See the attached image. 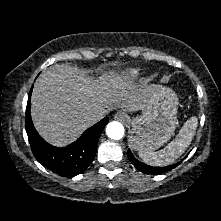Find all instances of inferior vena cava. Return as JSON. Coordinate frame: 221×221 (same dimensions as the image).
<instances>
[{
	"label": "inferior vena cava",
	"mask_w": 221,
	"mask_h": 221,
	"mask_svg": "<svg viewBox=\"0 0 221 221\" xmlns=\"http://www.w3.org/2000/svg\"><path fill=\"white\" fill-rule=\"evenodd\" d=\"M104 117V115L102 113L99 114H91L89 116L86 117V121L89 124H94L96 122H98L99 120H101Z\"/></svg>",
	"instance_id": "inferior-vena-cava-1"
}]
</instances>
